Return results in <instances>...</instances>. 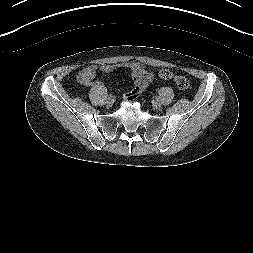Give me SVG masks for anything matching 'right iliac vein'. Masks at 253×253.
<instances>
[{
	"label": "right iliac vein",
	"instance_id": "obj_1",
	"mask_svg": "<svg viewBox=\"0 0 253 253\" xmlns=\"http://www.w3.org/2000/svg\"><path fill=\"white\" fill-rule=\"evenodd\" d=\"M107 104H108L109 106H112V105L114 104V99H113L112 97H111V98H108Z\"/></svg>",
	"mask_w": 253,
	"mask_h": 253
}]
</instances>
